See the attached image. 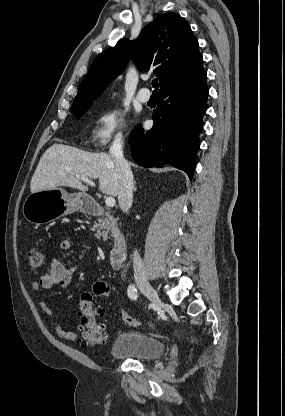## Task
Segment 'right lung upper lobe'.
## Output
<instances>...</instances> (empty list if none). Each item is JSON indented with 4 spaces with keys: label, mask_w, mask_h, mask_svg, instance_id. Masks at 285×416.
Listing matches in <instances>:
<instances>
[{
    "label": "right lung upper lobe",
    "mask_w": 285,
    "mask_h": 416,
    "mask_svg": "<svg viewBox=\"0 0 285 416\" xmlns=\"http://www.w3.org/2000/svg\"><path fill=\"white\" fill-rule=\"evenodd\" d=\"M130 58L140 71L153 69L160 79V92L205 72L190 26L179 14L165 13L148 24L136 41L121 39L95 58L71 109L92 103L123 72Z\"/></svg>",
    "instance_id": "cb5924a9"
}]
</instances>
